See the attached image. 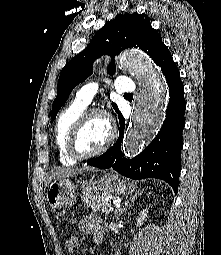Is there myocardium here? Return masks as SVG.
Instances as JSON below:
<instances>
[{"instance_id":"myocardium-1","label":"myocardium","mask_w":221,"mask_h":255,"mask_svg":"<svg viewBox=\"0 0 221 255\" xmlns=\"http://www.w3.org/2000/svg\"><path fill=\"white\" fill-rule=\"evenodd\" d=\"M94 116L101 117L106 122L108 126V136L104 144L96 151H93L90 153H82L78 149L79 135L82 128L87 123V121ZM115 138H116V129L109 114L100 109H90V110L84 111L83 114L79 117V119L75 122V124L71 128L68 139H67V152L76 161L91 159V158L100 156L101 154L106 152L107 149L114 142Z\"/></svg>"}]
</instances>
